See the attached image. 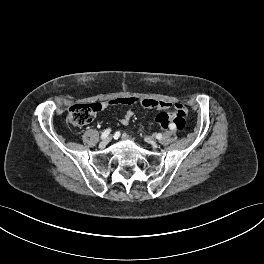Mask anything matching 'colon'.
<instances>
[{
	"label": "colon",
	"instance_id": "colon-1",
	"mask_svg": "<svg viewBox=\"0 0 264 264\" xmlns=\"http://www.w3.org/2000/svg\"><path fill=\"white\" fill-rule=\"evenodd\" d=\"M110 104H131L130 98H116L109 101ZM102 106L100 103L92 104H75L70 107L68 113V122L74 127H82L90 123L96 112L101 110ZM187 111L179 105L175 108L174 112H160L156 118V123L161 128H168L169 125L173 124L177 130H183L186 125Z\"/></svg>",
	"mask_w": 264,
	"mask_h": 264
}]
</instances>
